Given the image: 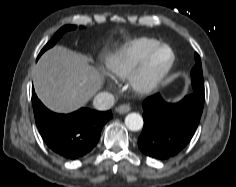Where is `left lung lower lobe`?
<instances>
[{"label":"left lung lower lobe","mask_w":236,"mask_h":187,"mask_svg":"<svg viewBox=\"0 0 236 187\" xmlns=\"http://www.w3.org/2000/svg\"><path fill=\"white\" fill-rule=\"evenodd\" d=\"M204 99L195 92L178 103H168L160 94L143 102V131L139 149L155 159H168L178 154L191 140L198 127Z\"/></svg>","instance_id":"0a47b994"}]
</instances>
